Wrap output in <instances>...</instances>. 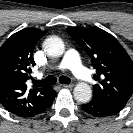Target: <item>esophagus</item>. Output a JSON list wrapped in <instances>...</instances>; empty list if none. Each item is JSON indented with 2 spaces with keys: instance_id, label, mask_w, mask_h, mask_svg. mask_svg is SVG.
Here are the masks:
<instances>
[{
  "instance_id": "1",
  "label": "esophagus",
  "mask_w": 133,
  "mask_h": 133,
  "mask_svg": "<svg viewBox=\"0 0 133 133\" xmlns=\"http://www.w3.org/2000/svg\"><path fill=\"white\" fill-rule=\"evenodd\" d=\"M61 86L64 88H72L74 85L73 84H62Z\"/></svg>"
}]
</instances>
